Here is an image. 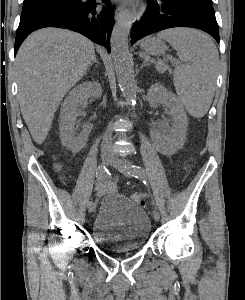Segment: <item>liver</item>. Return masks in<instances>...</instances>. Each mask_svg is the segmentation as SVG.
<instances>
[{
    "label": "liver",
    "instance_id": "6515ba94",
    "mask_svg": "<svg viewBox=\"0 0 245 300\" xmlns=\"http://www.w3.org/2000/svg\"><path fill=\"white\" fill-rule=\"evenodd\" d=\"M94 56L89 39L65 29L35 31L21 45L15 61L19 104L37 144L46 139L59 104Z\"/></svg>",
    "mask_w": 245,
    "mask_h": 300
}]
</instances>
